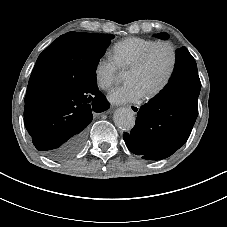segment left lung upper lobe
<instances>
[{"label":"left lung upper lobe","mask_w":227,"mask_h":227,"mask_svg":"<svg viewBox=\"0 0 227 227\" xmlns=\"http://www.w3.org/2000/svg\"><path fill=\"white\" fill-rule=\"evenodd\" d=\"M156 36L161 38V39H167L168 38V34L167 33H159Z\"/></svg>","instance_id":"left-lung-upper-lobe-1"}]
</instances>
